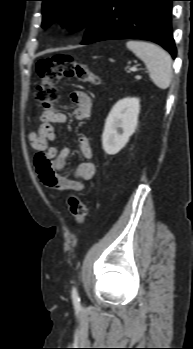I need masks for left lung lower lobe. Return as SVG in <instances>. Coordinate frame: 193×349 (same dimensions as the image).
I'll use <instances>...</instances> for the list:
<instances>
[{
  "instance_id": "1",
  "label": "left lung lower lobe",
  "mask_w": 193,
  "mask_h": 349,
  "mask_svg": "<svg viewBox=\"0 0 193 349\" xmlns=\"http://www.w3.org/2000/svg\"><path fill=\"white\" fill-rule=\"evenodd\" d=\"M174 0H106L86 28L82 44L109 39H143L163 46L176 57L171 28Z\"/></svg>"
}]
</instances>
